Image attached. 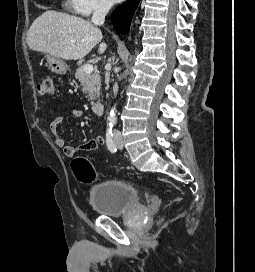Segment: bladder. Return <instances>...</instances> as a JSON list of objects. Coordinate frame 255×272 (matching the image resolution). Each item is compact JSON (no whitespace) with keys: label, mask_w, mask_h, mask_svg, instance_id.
Listing matches in <instances>:
<instances>
[{"label":"bladder","mask_w":255,"mask_h":272,"mask_svg":"<svg viewBox=\"0 0 255 272\" xmlns=\"http://www.w3.org/2000/svg\"><path fill=\"white\" fill-rule=\"evenodd\" d=\"M93 210L107 217L128 213L139 204V195L130 184L119 180L101 182L89 191Z\"/></svg>","instance_id":"bladder-1"}]
</instances>
